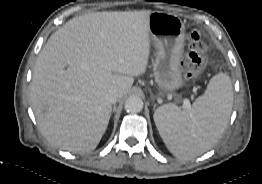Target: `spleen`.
<instances>
[{"label": "spleen", "mask_w": 262, "mask_h": 184, "mask_svg": "<svg viewBox=\"0 0 262 184\" xmlns=\"http://www.w3.org/2000/svg\"><path fill=\"white\" fill-rule=\"evenodd\" d=\"M233 90L225 73L214 75L204 94L186 111L166 104L154 112V122L168 150L182 160L193 159L221 138L231 115Z\"/></svg>", "instance_id": "spleen-1"}]
</instances>
